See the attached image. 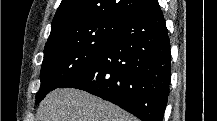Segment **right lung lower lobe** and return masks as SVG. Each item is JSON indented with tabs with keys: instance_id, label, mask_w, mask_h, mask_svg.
<instances>
[{
	"instance_id": "obj_1",
	"label": "right lung lower lobe",
	"mask_w": 217,
	"mask_h": 121,
	"mask_svg": "<svg viewBox=\"0 0 217 121\" xmlns=\"http://www.w3.org/2000/svg\"><path fill=\"white\" fill-rule=\"evenodd\" d=\"M171 80L168 30L157 0L127 19L96 60L65 80L142 121H162Z\"/></svg>"
}]
</instances>
